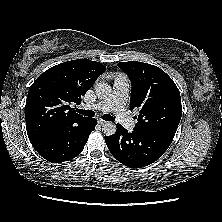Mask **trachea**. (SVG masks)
Here are the masks:
<instances>
[{"mask_svg": "<svg viewBox=\"0 0 222 222\" xmlns=\"http://www.w3.org/2000/svg\"><path fill=\"white\" fill-rule=\"evenodd\" d=\"M77 112L84 115V116H88V117H93L95 115V113L92 110L78 109ZM102 119L106 120V121H114L115 120L111 115H107V114L103 115Z\"/></svg>", "mask_w": 222, "mask_h": 222, "instance_id": "3493384b", "label": "trachea"}]
</instances>
